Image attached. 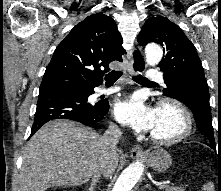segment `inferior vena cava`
I'll return each instance as SVG.
<instances>
[{"mask_svg":"<svg viewBox=\"0 0 221 191\" xmlns=\"http://www.w3.org/2000/svg\"><path fill=\"white\" fill-rule=\"evenodd\" d=\"M121 136L122 132L118 127H111L101 137V142L104 145V159L102 161L100 169L92 176V186L96 185V182H98L101 174H106L110 158L117 154L116 145L118 144Z\"/></svg>","mask_w":221,"mask_h":191,"instance_id":"602c4592","label":"inferior vena cava"}]
</instances>
